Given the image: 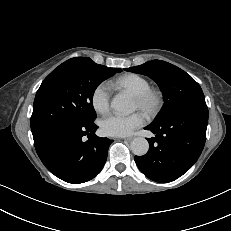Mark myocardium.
I'll return each instance as SVG.
<instances>
[{
	"mask_svg": "<svg viewBox=\"0 0 231 231\" xmlns=\"http://www.w3.org/2000/svg\"><path fill=\"white\" fill-rule=\"evenodd\" d=\"M133 97L137 102L138 109L150 118L156 117L165 104L164 93L158 88L150 87L142 93L133 95Z\"/></svg>",
	"mask_w": 231,
	"mask_h": 231,
	"instance_id": "myocardium-1",
	"label": "myocardium"
}]
</instances>
